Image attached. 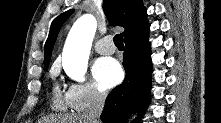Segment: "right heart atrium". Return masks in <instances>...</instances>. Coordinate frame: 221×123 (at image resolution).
Returning <instances> with one entry per match:
<instances>
[{
  "label": "right heart atrium",
  "mask_w": 221,
  "mask_h": 123,
  "mask_svg": "<svg viewBox=\"0 0 221 123\" xmlns=\"http://www.w3.org/2000/svg\"><path fill=\"white\" fill-rule=\"evenodd\" d=\"M65 96L69 107L76 112L100 105L106 99V93L88 81L71 83L66 89Z\"/></svg>",
  "instance_id": "obj_1"
}]
</instances>
